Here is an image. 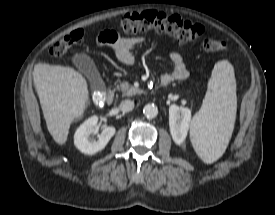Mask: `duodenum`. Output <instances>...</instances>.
Segmentation results:
<instances>
[{"mask_svg":"<svg viewBox=\"0 0 275 215\" xmlns=\"http://www.w3.org/2000/svg\"><path fill=\"white\" fill-rule=\"evenodd\" d=\"M115 91L113 88H109L104 95L97 97V103L104 104L111 102L114 98Z\"/></svg>","mask_w":275,"mask_h":215,"instance_id":"1","label":"duodenum"}]
</instances>
